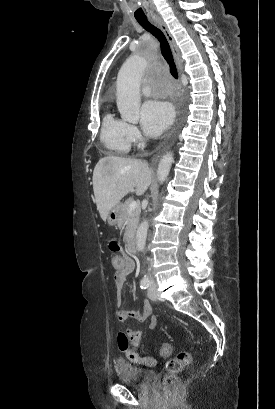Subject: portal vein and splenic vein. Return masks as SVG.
<instances>
[{
    "label": "portal vein and splenic vein",
    "mask_w": 275,
    "mask_h": 409,
    "mask_svg": "<svg viewBox=\"0 0 275 409\" xmlns=\"http://www.w3.org/2000/svg\"><path fill=\"white\" fill-rule=\"evenodd\" d=\"M136 207H137L136 200H132V202H130V205H129V213H131V211H134V209H136Z\"/></svg>",
    "instance_id": "portal-vein-and-splenic-vein-1"
}]
</instances>
